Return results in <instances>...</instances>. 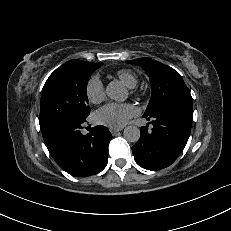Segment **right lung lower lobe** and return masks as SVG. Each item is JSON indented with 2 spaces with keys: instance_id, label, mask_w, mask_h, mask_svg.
I'll use <instances>...</instances> for the list:
<instances>
[{
  "instance_id": "right-lung-lower-lobe-1",
  "label": "right lung lower lobe",
  "mask_w": 231,
  "mask_h": 231,
  "mask_svg": "<svg viewBox=\"0 0 231 231\" xmlns=\"http://www.w3.org/2000/svg\"><path fill=\"white\" fill-rule=\"evenodd\" d=\"M86 121L66 120L43 134L52 157L67 173L86 177L101 172L108 161V144L112 138L104 126L93 127L90 133H81Z\"/></svg>"
}]
</instances>
